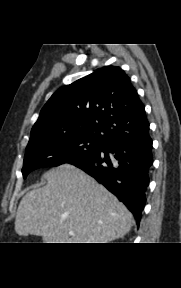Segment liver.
Segmentation results:
<instances>
[{
  "label": "liver",
  "mask_w": 181,
  "mask_h": 288,
  "mask_svg": "<svg viewBox=\"0 0 181 288\" xmlns=\"http://www.w3.org/2000/svg\"><path fill=\"white\" fill-rule=\"evenodd\" d=\"M43 178L47 184L20 201L18 235H38L44 243H108L130 231L133 217L125 205L81 169L63 164Z\"/></svg>",
  "instance_id": "liver-1"
}]
</instances>
